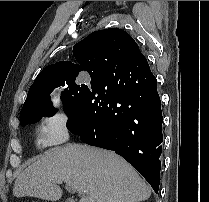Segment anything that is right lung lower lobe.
Wrapping results in <instances>:
<instances>
[{"mask_svg": "<svg viewBox=\"0 0 209 202\" xmlns=\"http://www.w3.org/2000/svg\"><path fill=\"white\" fill-rule=\"evenodd\" d=\"M162 123L157 81L143 57L130 62L125 76L96 79L82 111L67 121V128L82 142L123 156L158 193Z\"/></svg>", "mask_w": 209, "mask_h": 202, "instance_id": "right-lung-lower-lobe-1", "label": "right lung lower lobe"}]
</instances>
